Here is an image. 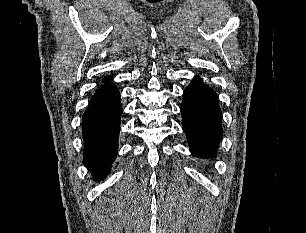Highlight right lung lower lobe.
Masks as SVG:
<instances>
[{
  "instance_id": "right-lung-lower-lobe-1",
  "label": "right lung lower lobe",
  "mask_w": 306,
  "mask_h": 233,
  "mask_svg": "<svg viewBox=\"0 0 306 233\" xmlns=\"http://www.w3.org/2000/svg\"><path fill=\"white\" fill-rule=\"evenodd\" d=\"M110 81L105 79L82 117L83 161L95 180L109 173L118 150L122 106L119 91Z\"/></svg>"
}]
</instances>
